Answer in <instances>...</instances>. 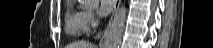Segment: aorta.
<instances>
[{
  "mask_svg": "<svg viewBox=\"0 0 213 48\" xmlns=\"http://www.w3.org/2000/svg\"><path fill=\"white\" fill-rule=\"evenodd\" d=\"M82 4H94L99 0H79ZM127 8L121 5L112 19L105 36L104 48H119L126 23Z\"/></svg>",
  "mask_w": 213,
  "mask_h": 48,
  "instance_id": "1",
  "label": "aorta"
}]
</instances>
